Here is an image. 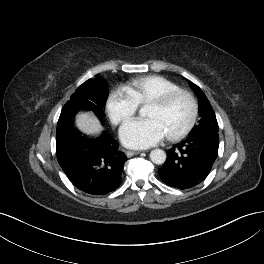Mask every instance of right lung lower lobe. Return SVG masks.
<instances>
[{
    "instance_id": "obj_1",
    "label": "right lung lower lobe",
    "mask_w": 264,
    "mask_h": 264,
    "mask_svg": "<svg viewBox=\"0 0 264 264\" xmlns=\"http://www.w3.org/2000/svg\"><path fill=\"white\" fill-rule=\"evenodd\" d=\"M56 143L58 163L79 190L104 195L120 186L127 157L108 132L88 138L73 126Z\"/></svg>"
}]
</instances>
